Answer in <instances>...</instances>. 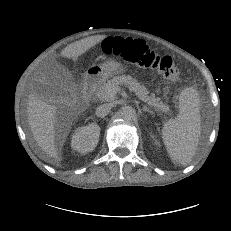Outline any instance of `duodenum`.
<instances>
[{"mask_svg":"<svg viewBox=\"0 0 231 231\" xmlns=\"http://www.w3.org/2000/svg\"><path fill=\"white\" fill-rule=\"evenodd\" d=\"M98 82H99L98 76L96 75L87 76L84 83V93H83L84 102H89V100L92 98Z\"/></svg>","mask_w":231,"mask_h":231,"instance_id":"obj_1","label":"duodenum"}]
</instances>
